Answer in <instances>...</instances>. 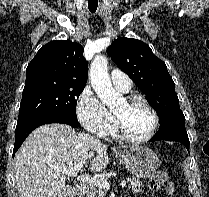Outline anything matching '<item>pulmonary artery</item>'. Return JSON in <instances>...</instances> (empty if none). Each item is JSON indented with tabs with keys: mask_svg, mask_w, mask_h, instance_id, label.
<instances>
[{
	"mask_svg": "<svg viewBox=\"0 0 209 197\" xmlns=\"http://www.w3.org/2000/svg\"><path fill=\"white\" fill-rule=\"evenodd\" d=\"M111 81L114 87L121 92H128L132 86L131 80L124 72L114 69L111 71Z\"/></svg>",
	"mask_w": 209,
	"mask_h": 197,
	"instance_id": "e3ab8cb5",
	"label": "pulmonary artery"
}]
</instances>
